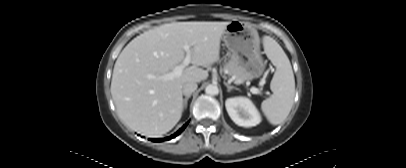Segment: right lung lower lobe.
Instances as JSON below:
<instances>
[{"label": "right lung lower lobe", "mask_w": 406, "mask_h": 168, "mask_svg": "<svg viewBox=\"0 0 406 168\" xmlns=\"http://www.w3.org/2000/svg\"><path fill=\"white\" fill-rule=\"evenodd\" d=\"M188 122L186 124H184L182 126V128H180L176 133H174L173 135L166 137V138H161V139H152L153 141L157 142V141H166V140H170L172 138H175L176 136H178L187 126Z\"/></svg>", "instance_id": "1"}]
</instances>
